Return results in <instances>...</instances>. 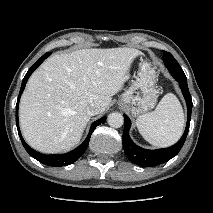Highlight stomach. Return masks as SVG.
I'll return each mask as SVG.
<instances>
[{
  "label": "stomach",
  "instance_id": "1",
  "mask_svg": "<svg viewBox=\"0 0 213 213\" xmlns=\"http://www.w3.org/2000/svg\"><path fill=\"white\" fill-rule=\"evenodd\" d=\"M156 79V71L149 63L140 64L136 80L121 96L119 106L128 110L133 116H139L153 108L157 101Z\"/></svg>",
  "mask_w": 213,
  "mask_h": 213
}]
</instances>
